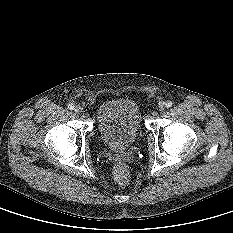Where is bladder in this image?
<instances>
[{
    "mask_svg": "<svg viewBox=\"0 0 233 233\" xmlns=\"http://www.w3.org/2000/svg\"><path fill=\"white\" fill-rule=\"evenodd\" d=\"M142 127L141 107L131 97L112 98L98 108L97 132L102 142L112 149H125L132 145Z\"/></svg>",
    "mask_w": 233,
    "mask_h": 233,
    "instance_id": "1",
    "label": "bladder"
}]
</instances>
